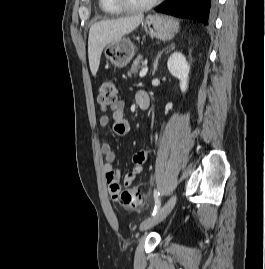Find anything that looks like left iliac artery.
<instances>
[{"label":"left iliac artery","mask_w":265,"mask_h":269,"mask_svg":"<svg viewBox=\"0 0 265 269\" xmlns=\"http://www.w3.org/2000/svg\"><path fill=\"white\" fill-rule=\"evenodd\" d=\"M154 199H155V207H154V210L152 212V215H155L161 206L160 192L156 189L154 190Z\"/></svg>","instance_id":"obj_1"}]
</instances>
